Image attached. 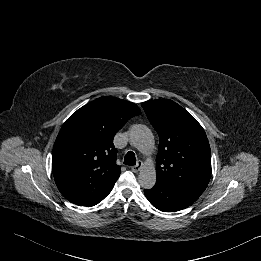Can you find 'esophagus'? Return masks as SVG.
Segmentation results:
<instances>
[{"instance_id": "34e87169", "label": "esophagus", "mask_w": 261, "mask_h": 261, "mask_svg": "<svg viewBox=\"0 0 261 261\" xmlns=\"http://www.w3.org/2000/svg\"><path fill=\"white\" fill-rule=\"evenodd\" d=\"M142 166H143V162H142V161H138L135 166H132V167H131V170H132L134 173H137V172L140 171V169L142 168Z\"/></svg>"}]
</instances>
